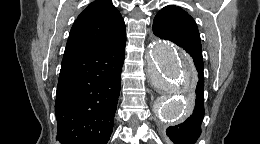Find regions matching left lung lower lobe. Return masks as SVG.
Instances as JSON below:
<instances>
[{"label": "left lung lower lobe", "mask_w": 260, "mask_h": 144, "mask_svg": "<svg viewBox=\"0 0 260 144\" xmlns=\"http://www.w3.org/2000/svg\"><path fill=\"white\" fill-rule=\"evenodd\" d=\"M182 47L192 58L198 62L202 57V50L192 45H178ZM193 111L182 123L170 126L166 130L167 136L174 144H194L201 134V123L204 111V78H199L196 87L190 94Z\"/></svg>", "instance_id": "left-lung-lower-lobe-1"}]
</instances>
